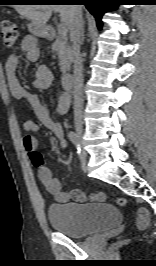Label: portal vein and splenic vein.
<instances>
[{"label": "portal vein and splenic vein", "mask_w": 156, "mask_h": 266, "mask_svg": "<svg viewBox=\"0 0 156 266\" xmlns=\"http://www.w3.org/2000/svg\"><path fill=\"white\" fill-rule=\"evenodd\" d=\"M58 34L60 36H66V34H67V28L65 27L64 24H59L58 25Z\"/></svg>", "instance_id": "1"}]
</instances>
